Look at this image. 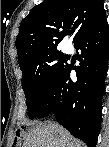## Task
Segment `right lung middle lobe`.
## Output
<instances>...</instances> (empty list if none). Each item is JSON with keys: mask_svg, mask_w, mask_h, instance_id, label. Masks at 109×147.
Returning <instances> with one entry per match:
<instances>
[{"mask_svg": "<svg viewBox=\"0 0 109 147\" xmlns=\"http://www.w3.org/2000/svg\"><path fill=\"white\" fill-rule=\"evenodd\" d=\"M60 52L45 53L36 61L21 67L28 115L35 118L40 112L53 84L63 71L66 62Z\"/></svg>", "mask_w": 109, "mask_h": 147, "instance_id": "1", "label": "right lung middle lobe"}]
</instances>
